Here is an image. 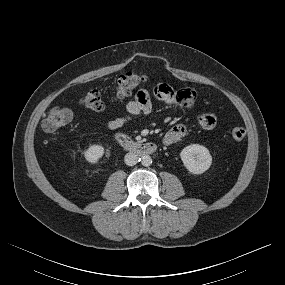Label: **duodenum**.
Returning a JSON list of instances; mask_svg holds the SVG:
<instances>
[{"mask_svg":"<svg viewBox=\"0 0 285 285\" xmlns=\"http://www.w3.org/2000/svg\"><path fill=\"white\" fill-rule=\"evenodd\" d=\"M116 141L126 150L141 156L153 154L157 150L154 143L135 142L123 133L115 134Z\"/></svg>","mask_w":285,"mask_h":285,"instance_id":"obj_1","label":"duodenum"}]
</instances>
